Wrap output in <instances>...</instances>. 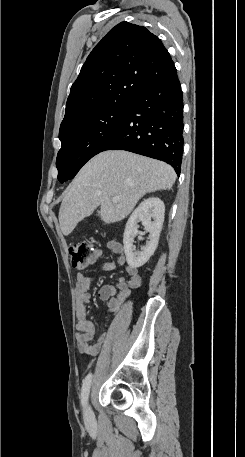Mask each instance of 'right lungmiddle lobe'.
<instances>
[{
  "mask_svg": "<svg viewBox=\"0 0 245 457\" xmlns=\"http://www.w3.org/2000/svg\"><path fill=\"white\" fill-rule=\"evenodd\" d=\"M131 102L114 101L61 124L62 147L56 160L61 183L72 179L89 159L102 152L123 122Z\"/></svg>",
  "mask_w": 245,
  "mask_h": 457,
  "instance_id": "obj_1",
  "label": "right lung middle lobe"
}]
</instances>
